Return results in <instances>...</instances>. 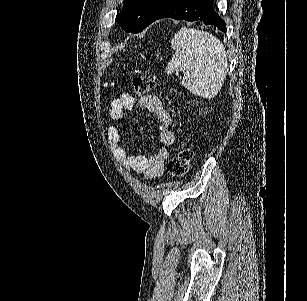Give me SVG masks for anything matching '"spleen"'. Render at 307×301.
Wrapping results in <instances>:
<instances>
[{"instance_id": "3e777b00", "label": "spleen", "mask_w": 307, "mask_h": 301, "mask_svg": "<svg viewBox=\"0 0 307 301\" xmlns=\"http://www.w3.org/2000/svg\"><path fill=\"white\" fill-rule=\"evenodd\" d=\"M171 48L175 52L165 72L182 70V86L196 96L213 98L224 84L228 60L223 42L206 30L183 26L174 34Z\"/></svg>"}]
</instances>
